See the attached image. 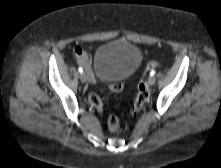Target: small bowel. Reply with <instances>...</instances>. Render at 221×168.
I'll list each match as a JSON object with an SVG mask.
<instances>
[{"label": "small bowel", "instance_id": "c3829d8e", "mask_svg": "<svg viewBox=\"0 0 221 168\" xmlns=\"http://www.w3.org/2000/svg\"><path fill=\"white\" fill-rule=\"evenodd\" d=\"M74 55L78 63L82 64L88 72L91 74L90 66H91V59L86 51L82 50L81 48H76L74 50ZM92 79L94 80V76L91 75Z\"/></svg>", "mask_w": 221, "mask_h": 168}]
</instances>
